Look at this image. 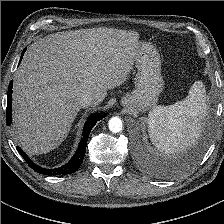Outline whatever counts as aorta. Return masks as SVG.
Returning a JSON list of instances; mask_svg holds the SVG:
<instances>
[{
    "label": "aorta",
    "instance_id": "obj_1",
    "mask_svg": "<svg viewBox=\"0 0 224 224\" xmlns=\"http://www.w3.org/2000/svg\"><path fill=\"white\" fill-rule=\"evenodd\" d=\"M123 124L120 118L112 117L109 120V129L113 133H118L122 130Z\"/></svg>",
    "mask_w": 224,
    "mask_h": 224
}]
</instances>
